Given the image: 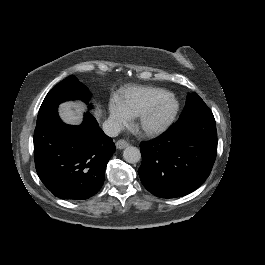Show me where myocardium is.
I'll return each instance as SVG.
<instances>
[{
	"mask_svg": "<svg viewBox=\"0 0 265 265\" xmlns=\"http://www.w3.org/2000/svg\"><path fill=\"white\" fill-rule=\"evenodd\" d=\"M161 94L169 95L173 102L174 107L173 109L167 113L166 115L160 117L159 119L155 121L149 120V114L151 112V109L154 105V102L157 98V96ZM180 110V100L179 98L171 91L169 90H158L155 93V96L148 102V104L140 111L138 114L139 117V127L142 132L148 135H153L158 132H160L166 125H168L173 119L177 116L178 112Z\"/></svg>",
	"mask_w": 265,
	"mask_h": 265,
	"instance_id": "obj_1",
	"label": "myocardium"
}]
</instances>
